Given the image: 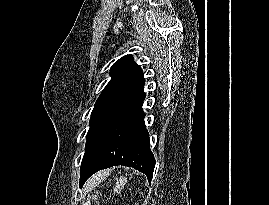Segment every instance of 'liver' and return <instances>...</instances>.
<instances>
[{
  "instance_id": "liver-1",
  "label": "liver",
  "mask_w": 269,
  "mask_h": 205,
  "mask_svg": "<svg viewBox=\"0 0 269 205\" xmlns=\"http://www.w3.org/2000/svg\"><path fill=\"white\" fill-rule=\"evenodd\" d=\"M105 177V173H100L98 175H96L93 179L92 182H96V181H100Z\"/></svg>"
}]
</instances>
